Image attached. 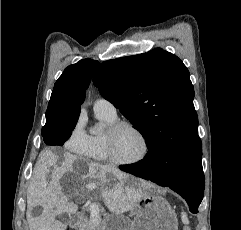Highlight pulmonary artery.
<instances>
[{"instance_id":"e3ab8cb5","label":"pulmonary artery","mask_w":241,"mask_h":230,"mask_svg":"<svg viewBox=\"0 0 241 230\" xmlns=\"http://www.w3.org/2000/svg\"><path fill=\"white\" fill-rule=\"evenodd\" d=\"M93 108L96 113L105 114L111 117H117L115 106L107 99H97Z\"/></svg>"}]
</instances>
